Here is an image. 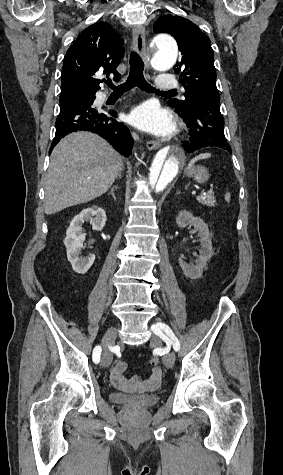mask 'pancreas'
Returning a JSON list of instances; mask_svg holds the SVG:
<instances>
[{
  "instance_id": "1",
  "label": "pancreas",
  "mask_w": 283,
  "mask_h": 475,
  "mask_svg": "<svg viewBox=\"0 0 283 475\" xmlns=\"http://www.w3.org/2000/svg\"><path fill=\"white\" fill-rule=\"evenodd\" d=\"M212 194L213 192H209L207 196H198L199 204H203V206H214L216 200Z\"/></svg>"
}]
</instances>
